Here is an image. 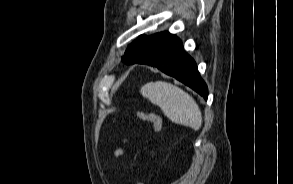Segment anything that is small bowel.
<instances>
[{
    "mask_svg": "<svg viewBox=\"0 0 293 184\" xmlns=\"http://www.w3.org/2000/svg\"><path fill=\"white\" fill-rule=\"evenodd\" d=\"M121 153H122V150H120V149L117 150V152H116L117 155H119V154H121Z\"/></svg>",
    "mask_w": 293,
    "mask_h": 184,
    "instance_id": "1",
    "label": "small bowel"
}]
</instances>
